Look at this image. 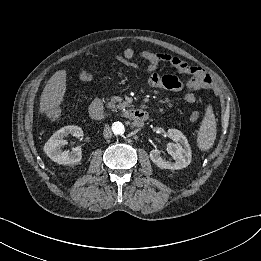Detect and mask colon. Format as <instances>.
<instances>
[{"label":"colon","mask_w":261,"mask_h":261,"mask_svg":"<svg viewBox=\"0 0 261 261\" xmlns=\"http://www.w3.org/2000/svg\"><path fill=\"white\" fill-rule=\"evenodd\" d=\"M177 69L180 73L190 75L189 84L193 89H207L213 84L211 76L202 67L191 66L182 61ZM46 114L51 119H58L61 116L60 111L53 107L47 109ZM191 117L193 120H196L199 117V113L194 112Z\"/></svg>","instance_id":"5ec220e1"}]
</instances>
